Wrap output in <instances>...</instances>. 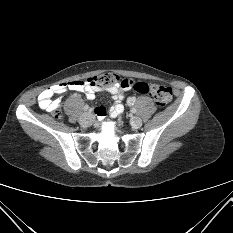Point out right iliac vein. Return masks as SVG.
<instances>
[{
    "label": "right iliac vein",
    "mask_w": 233,
    "mask_h": 233,
    "mask_svg": "<svg viewBox=\"0 0 233 233\" xmlns=\"http://www.w3.org/2000/svg\"><path fill=\"white\" fill-rule=\"evenodd\" d=\"M94 116L91 113H84L80 119H79V123L81 126L83 127H87L90 126L93 122Z\"/></svg>",
    "instance_id": "1"
}]
</instances>
